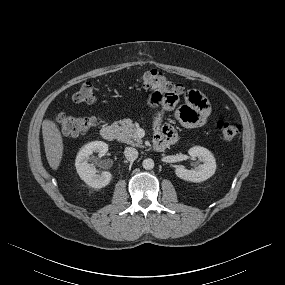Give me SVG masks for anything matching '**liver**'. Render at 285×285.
I'll use <instances>...</instances> for the list:
<instances>
[{"instance_id": "obj_1", "label": "liver", "mask_w": 285, "mask_h": 285, "mask_svg": "<svg viewBox=\"0 0 285 285\" xmlns=\"http://www.w3.org/2000/svg\"><path fill=\"white\" fill-rule=\"evenodd\" d=\"M42 134L47 161L53 170H57L63 156V139L57 124L49 119L42 123Z\"/></svg>"}]
</instances>
